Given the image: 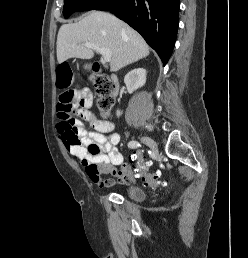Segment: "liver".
<instances>
[{
	"instance_id": "1",
	"label": "liver",
	"mask_w": 248,
	"mask_h": 258,
	"mask_svg": "<svg viewBox=\"0 0 248 258\" xmlns=\"http://www.w3.org/2000/svg\"><path fill=\"white\" fill-rule=\"evenodd\" d=\"M85 43H93L111 52L112 72L149 55V47L138 32L101 11H92L77 23L61 26L57 36L58 63L70 58H93V49L85 47Z\"/></svg>"
}]
</instances>
